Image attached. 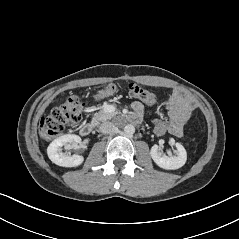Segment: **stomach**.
I'll use <instances>...</instances> for the list:
<instances>
[{
    "label": "stomach",
    "instance_id": "1",
    "mask_svg": "<svg viewBox=\"0 0 239 239\" xmlns=\"http://www.w3.org/2000/svg\"><path fill=\"white\" fill-rule=\"evenodd\" d=\"M108 96H109V94L107 91L101 90L94 96V99L98 101V100L104 99Z\"/></svg>",
    "mask_w": 239,
    "mask_h": 239
}]
</instances>
